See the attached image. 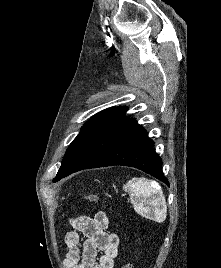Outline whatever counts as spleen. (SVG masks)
<instances>
[{"label": "spleen", "mask_w": 221, "mask_h": 268, "mask_svg": "<svg viewBox=\"0 0 221 268\" xmlns=\"http://www.w3.org/2000/svg\"><path fill=\"white\" fill-rule=\"evenodd\" d=\"M132 197L136 213L161 223L167 216V204L158 182L147 178H133L123 187Z\"/></svg>", "instance_id": "3e777b00"}]
</instances>
